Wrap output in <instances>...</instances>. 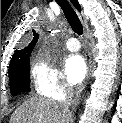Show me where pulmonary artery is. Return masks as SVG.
<instances>
[{
	"mask_svg": "<svg viewBox=\"0 0 122 123\" xmlns=\"http://www.w3.org/2000/svg\"><path fill=\"white\" fill-rule=\"evenodd\" d=\"M66 47L71 52H77L80 49V43L76 38L72 37L67 40Z\"/></svg>",
	"mask_w": 122,
	"mask_h": 123,
	"instance_id": "pulmonary-artery-1",
	"label": "pulmonary artery"
}]
</instances>
